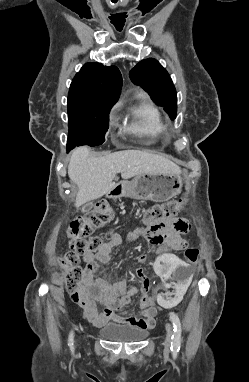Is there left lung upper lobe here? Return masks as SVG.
<instances>
[{
    "label": "left lung upper lobe",
    "mask_w": 249,
    "mask_h": 382,
    "mask_svg": "<svg viewBox=\"0 0 249 382\" xmlns=\"http://www.w3.org/2000/svg\"><path fill=\"white\" fill-rule=\"evenodd\" d=\"M129 76L134 84L149 93L157 105L164 107L172 119L176 117V90L168 72L158 61L149 58L139 62Z\"/></svg>",
    "instance_id": "5c2ea615"
}]
</instances>
